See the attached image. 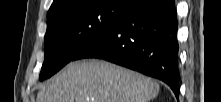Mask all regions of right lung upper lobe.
<instances>
[{
	"mask_svg": "<svg viewBox=\"0 0 221 102\" xmlns=\"http://www.w3.org/2000/svg\"><path fill=\"white\" fill-rule=\"evenodd\" d=\"M82 1H84V0H54L49 11H48L47 18H50L51 16L65 10V9L73 7L74 5H76ZM130 1L135 6L141 0H130Z\"/></svg>",
	"mask_w": 221,
	"mask_h": 102,
	"instance_id": "cb5924a9",
	"label": "right lung upper lobe"
}]
</instances>
